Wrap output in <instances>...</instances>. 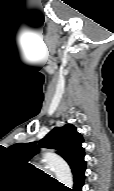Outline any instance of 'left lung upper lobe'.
Wrapping results in <instances>:
<instances>
[{
  "instance_id": "1",
  "label": "left lung upper lobe",
  "mask_w": 114,
  "mask_h": 191,
  "mask_svg": "<svg viewBox=\"0 0 114 191\" xmlns=\"http://www.w3.org/2000/svg\"><path fill=\"white\" fill-rule=\"evenodd\" d=\"M83 138L77 132L76 127L66 124L63 127H56L50 131L36 146L35 142L17 143L9 147L11 153L18 159L27 162L37 152L40 147L56 149L69 164L72 171L84 162V149L81 144Z\"/></svg>"
}]
</instances>
